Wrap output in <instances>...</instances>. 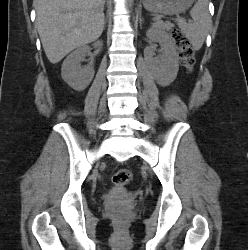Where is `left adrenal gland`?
I'll use <instances>...</instances> for the list:
<instances>
[{
    "mask_svg": "<svg viewBox=\"0 0 248 250\" xmlns=\"http://www.w3.org/2000/svg\"><path fill=\"white\" fill-rule=\"evenodd\" d=\"M141 24H142V19L140 18V27H141Z\"/></svg>",
    "mask_w": 248,
    "mask_h": 250,
    "instance_id": "a2214340",
    "label": "left adrenal gland"
}]
</instances>
